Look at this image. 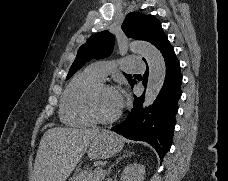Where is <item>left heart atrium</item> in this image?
Listing matches in <instances>:
<instances>
[{
    "instance_id": "1",
    "label": "left heart atrium",
    "mask_w": 228,
    "mask_h": 181,
    "mask_svg": "<svg viewBox=\"0 0 228 181\" xmlns=\"http://www.w3.org/2000/svg\"><path fill=\"white\" fill-rule=\"evenodd\" d=\"M121 106V97L117 95V107Z\"/></svg>"
}]
</instances>
